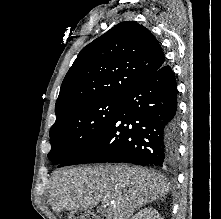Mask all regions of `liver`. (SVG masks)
<instances>
[{"mask_svg":"<svg viewBox=\"0 0 221 219\" xmlns=\"http://www.w3.org/2000/svg\"><path fill=\"white\" fill-rule=\"evenodd\" d=\"M168 192L164 178L129 165L71 167L53 174L50 201L54 211L92 209L102 202L107 219H129L147 203Z\"/></svg>","mask_w":221,"mask_h":219,"instance_id":"6515ba94","label":"liver"}]
</instances>
